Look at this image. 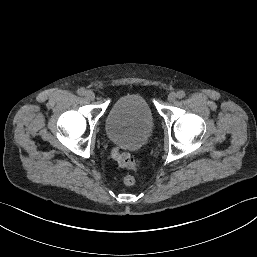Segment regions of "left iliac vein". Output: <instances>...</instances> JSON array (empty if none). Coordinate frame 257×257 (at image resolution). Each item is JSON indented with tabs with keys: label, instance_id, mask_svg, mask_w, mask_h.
Wrapping results in <instances>:
<instances>
[{
	"label": "left iliac vein",
	"instance_id": "1",
	"mask_svg": "<svg viewBox=\"0 0 257 257\" xmlns=\"http://www.w3.org/2000/svg\"><path fill=\"white\" fill-rule=\"evenodd\" d=\"M176 98H177V94L175 92L169 93V95H168L169 102H174L176 100Z\"/></svg>",
	"mask_w": 257,
	"mask_h": 257
}]
</instances>
